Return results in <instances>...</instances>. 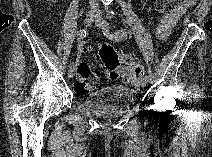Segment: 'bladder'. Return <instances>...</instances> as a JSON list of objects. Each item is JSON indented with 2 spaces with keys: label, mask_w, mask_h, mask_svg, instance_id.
<instances>
[{
  "label": "bladder",
  "mask_w": 212,
  "mask_h": 157,
  "mask_svg": "<svg viewBox=\"0 0 212 157\" xmlns=\"http://www.w3.org/2000/svg\"><path fill=\"white\" fill-rule=\"evenodd\" d=\"M134 89L122 86H106L83 95V105L103 118H114L131 109L136 100Z\"/></svg>",
  "instance_id": "31cf9c89"
}]
</instances>
